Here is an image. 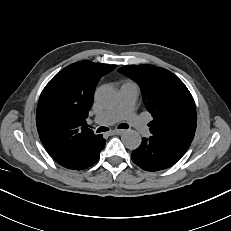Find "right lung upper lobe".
<instances>
[{
  "instance_id": "obj_1",
  "label": "right lung upper lobe",
  "mask_w": 231,
  "mask_h": 231,
  "mask_svg": "<svg viewBox=\"0 0 231 231\" xmlns=\"http://www.w3.org/2000/svg\"><path fill=\"white\" fill-rule=\"evenodd\" d=\"M115 65L85 60L57 73L43 89L36 112L39 137L53 159L97 137L84 126L99 79Z\"/></svg>"
}]
</instances>
